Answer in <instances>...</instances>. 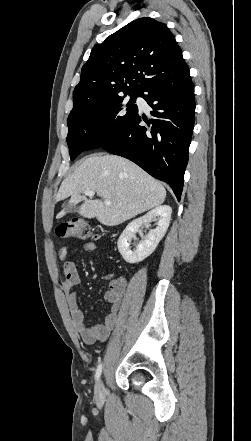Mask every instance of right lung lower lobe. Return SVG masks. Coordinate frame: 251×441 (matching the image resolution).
<instances>
[{"instance_id": "1", "label": "right lung lower lobe", "mask_w": 251, "mask_h": 441, "mask_svg": "<svg viewBox=\"0 0 251 441\" xmlns=\"http://www.w3.org/2000/svg\"><path fill=\"white\" fill-rule=\"evenodd\" d=\"M139 96L153 109V118L147 120L137 111L100 148L133 161L151 176L168 183L180 201L195 113L188 66L151 83Z\"/></svg>"}]
</instances>
